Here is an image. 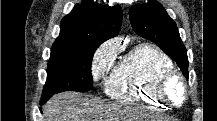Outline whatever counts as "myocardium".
Listing matches in <instances>:
<instances>
[{
    "label": "myocardium",
    "mask_w": 217,
    "mask_h": 121,
    "mask_svg": "<svg viewBox=\"0 0 217 121\" xmlns=\"http://www.w3.org/2000/svg\"><path fill=\"white\" fill-rule=\"evenodd\" d=\"M159 95L169 104L181 106L188 97L183 77L173 70L163 73L157 82Z\"/></svg>",
    "instance_id": "myocardium-1"
}]
</instances>
